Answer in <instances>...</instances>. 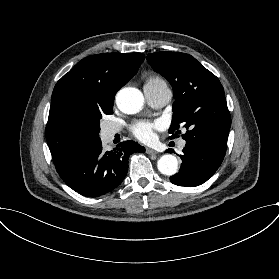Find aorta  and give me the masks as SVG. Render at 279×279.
Returning <instances> with one entry per match:
<instances>
[{
  "label": "aorta",
  "mask_w": 279,
  "mask_h": 279,
  "mask_svg": "<svg viewBox=\"0 0 279 279\" xmlns=\"http://www.w3.org/2000/svg\"><path fill=\"white\" fill-rule=\"evenodd\" d=\"M116 104L123 113L135 114L143 108L144 97L138 89L125 87L118 92ZM157 167L163 175L172 176L177 173L178 160L172 154H165L158 160Z\"/></svg>",
  "instance_id": "1"
}]
</instances>
